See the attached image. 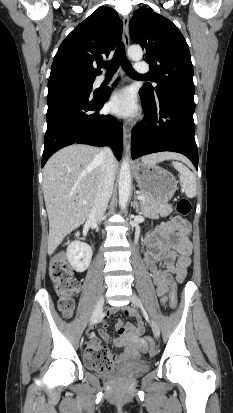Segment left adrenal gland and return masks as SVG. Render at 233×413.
<instances>
[{"mask_svg":"<svg viewBox=\"0 0 233 413\" xmlns=\"http://www.w3.org/2000/svg\"><path fill=\"white\" fill-rule=\"evenodd\" d=\"M132 207L135 209L136 212L140 213V206L136 194H134V201L132 203Z\"/></svg>","mask_w":233,"mask_h":413,"instance_id":"left-adrenal-gland-1","label":"left adrenal gland"}]
</instances>
